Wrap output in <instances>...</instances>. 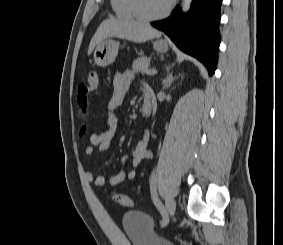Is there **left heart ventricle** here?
I'll return each instance as SVG.
<instances>
[{
	"instance_id": "b2bd125f",
	"label": "left heart ventricle",
	"mask_w": 283,
	"mask_h": 245,
	"mask_svg": "<svg viewBox=\"0 0 283 245\" xmlns=\"http://www.w3.org/2000/svg\"><path fill=\"white\" fill-rule=\"evenodd\" d=\"M169 0H141V7L148 15L161 13L167 6Z\"/></svg>"
}]
</instances>
